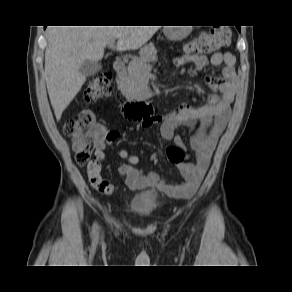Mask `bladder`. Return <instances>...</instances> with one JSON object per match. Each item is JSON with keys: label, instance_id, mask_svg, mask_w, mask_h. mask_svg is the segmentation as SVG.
Masks as SVG:
<instances>
[{"label": "bladder", "instance_id": "obj_1", "mask_svg": "<svg viewBox=\"0 0 292 292\" xmlns=\"http://www.w3.org/2000/svg\"><path fill=\"white\" fill-rule=\"evenodd\" d=\"M157 197V192L153 190L137 194L129 203L130 212L135 215H145L152 212L157 207Z\"/></svg>", "mask_w": 292, "mask_h": 292}]
</instances>
